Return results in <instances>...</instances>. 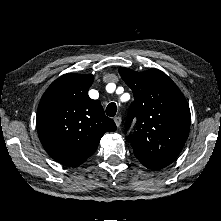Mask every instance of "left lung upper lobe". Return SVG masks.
Segmentation results:
<instances>
[{"label": "left lung upper lobe", "mask_w": 221, "mask_h": 221, "mask_svg": "<svg viewBox=\"0 0 221 221\" xmlns=\"http://www.w3.org/2000/svg\"><path fill=\"white\" fill-rule=\"evenodd\" d=\"M119 73L134 95L128 120L130 124L137 118L135 135L130 138L134 152L172 163L189 134L190 109L184 95L158 69L139 73L120 68Z\"/></svg>", "instance_id": "left-lung-upper-lobe-1"}]
</instances>
